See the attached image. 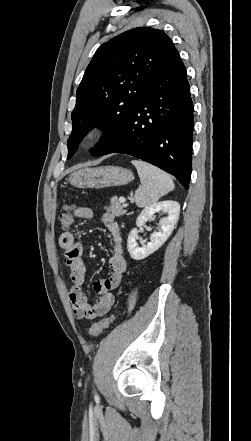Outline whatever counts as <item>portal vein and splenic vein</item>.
I'll use <instances>...</instances> for the list:
<instances>
[{
  "label": "portal vein and splenic vein",
  "instance_id": "18ae733b",
  "mask_svg": "<svg viewBox=\"0 0 251 441\" xmlns=\"http://www.w3.org/2000/svg\"><path fill=\"white\" fill-rule=\"evenodd\" d=\"M119 201H120L121 203H125V202H126V199H125L124 197H120V198H119Z\"/></svg>",
  "mask_w": 251,
  "mask_h": 441
}]
</instances>
